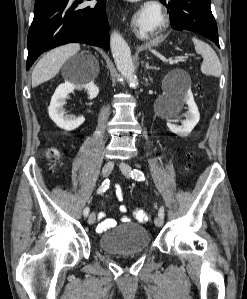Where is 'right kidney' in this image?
Returning <instances> with one entry per match:
<instances>
[{"label":"right kidney","instance_id":"right-kidney-1","mask_svg":"<svg viewBox=\"0 0 247 299\" xmlns=\"http://www.w3.org/2000/svg\"><path fill=\"white\" fill-rule=\"evenodd\" d=\"M85 89L90 99H94L98 93L99 88L95 85L93 80L84 83L65 82L60 84L53 94L48 108V113L51 120L61 129L72 131L78 128L85 118L83 116L75 117L67 115L63 106L66 104L67 95L74 90Z\"/></svg>","mask_w":247,"mask_h":299}]
</instances>
